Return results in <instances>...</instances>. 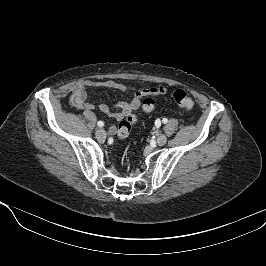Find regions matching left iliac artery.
Segmentation results:
<instances>
[{
	"instance_id": "44dca946",
	"label": "left iliac artery",
	"mask_w": 266,
	"mask_h": 266,
	"mask_svg": "<svg viewBox=\"0 0 266 266\" xmlns=\"http://www.w3.org/2000/svg\"><path fill=\"white\" fill-rule=\"evenodd\" d=\"M162 122H163L164 124H166V123L168 122V120H167L166 118H163Z\"/></svg>"
}]
</instances>
